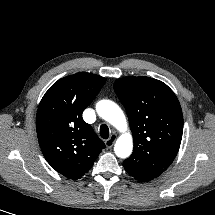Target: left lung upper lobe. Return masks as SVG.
Segmentation results:
<instances>
[{"mask_svg": "<svg viewBox=\"0 0 215 215\" xmlns=\"http://www.w3.org/2000/svg\"><path fill=\"white\" fill-rule=\"evenodd\" d=\"M114 90L124 105L134 140L125 170L147 182L162 174L173 162L183 133V115L174 92L150 77H125Z\"/></svg>", "mask_w": 215, "mask_h": 215, "instance_id": "left-lung-upper-lobe-1", "label": "left lung upper lobe"}]
</instances>
